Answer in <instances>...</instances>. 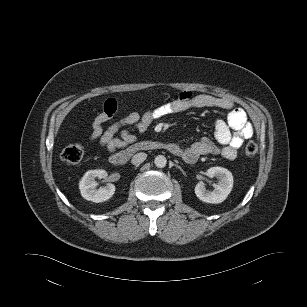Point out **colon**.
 <instances>
[{
    "instance_id": "colon-1",
    "label": "colon",
    "mask_w": 307,
    "mask_h": 307,
    "mask_svg": "<svg viewBox=\"0 0 307 307\" xmlns=\"http://www.w3.org/2000/svg\"><path fill=\"white\" fill-rule=\"evenodd\" d=\"M258 152V146L254 141H249L244 147V153L247 157H253ZM83 158V149L78 144H71L65 147L61 152V159L69 164H77Z\"/></svg>"
}]
</instances>
